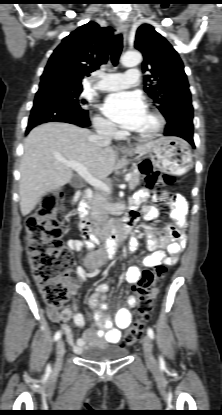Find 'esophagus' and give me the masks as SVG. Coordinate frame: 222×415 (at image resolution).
<instances>
[{"label":"esophagus","instance_id":"obj_1","mask_svg":"<svg viewBox=\"0 0 222 415\" xmlns=\"http://www.w3.org/2000/svg\"><path fill=\"white\" fill-rule=\"evenodd\" d=\"M127 31H128V26L126 23H120L117 27V33L122 34L123 35V39L124 42H126V38H127ZM122 150H125L126 148L123 146L119 147Z\"/></svg>","mask_w":222,"mask_h":415}]
</instances>
